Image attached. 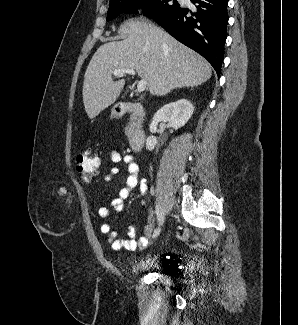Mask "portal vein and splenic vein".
<instances>
[{
    "instance_id": "obj_1",
    "label": "portal vein and splenic vein",
    "mask_w": 298,
    "mask_h": 325,
    "mask_svg": "<svg viewBox=\"0 0 298 325\" xmlns=\"http://www.w3.org/2000/svg\"><path fill=\"white\" fill-rule=\"evenodd\" d=\"M114 76H122V74H136V70H133V68H116V70H113ZM147 84V80L145 78H142V80H139L137 84V90L138 92H142V90H145Z\"/></svg>"
}]
</instances>
